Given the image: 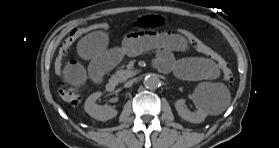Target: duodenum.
<instances>
[{"label": "duodenum", "mask_w": 279, "mask_h": 148, "mask_svg": "<svg viewBox=\"0 0 279 148\" xmlns=\"http://www.w3.org/2000/svg\"><path fill=\"white\" fill-rule=\"evenodd\" d=\"M106 87H107V90L109 92H114L116 90V88H117V81H116V79H114V78L110 79L107 82Z\"/></svg>", "instance_id": "1"}]
</instances>
